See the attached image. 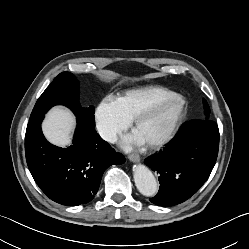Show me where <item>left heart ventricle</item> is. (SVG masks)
<instances>
[{
  "label": "left heart ventricle",
  "mask_w": 249,
  "mask_h": 249,
  "mask_svg": "<svg viewBox=\"0 0 249 249\" xmlns=\"http://www.w3.org/2000/svg\"><path fill=\"white\" fill-rule=\"evenodd\" d=\"M180 103L172 100L160 106L152 115L142 121L137 127L136 132L145 141L150 143L162 138L174 123Z\"/></svg>",
  "instance_id": "left-heart-ventricle-1"
}]
</instances>
